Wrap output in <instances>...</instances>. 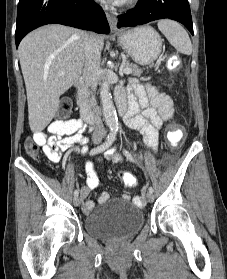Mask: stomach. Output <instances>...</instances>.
Masks as SVG:
<instances>
[{"label": "stomach", "mask_w": 227, "mask_h": 279, "mask_svg": "<svg viewBox=\"0 0 227 279\" xmlns=\"http://www.w3.org/2000/svg\"><path fill=\"white\" fill-rule=\"evenodd\" d=\"M119 45L140 65L155 61L162 51L160 35L149 26L137 27L117 35Z\"/></svg>", "instance_id": "0dacf381"}]
</instances>
